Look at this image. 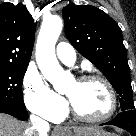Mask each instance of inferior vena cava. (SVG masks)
Returning a JSON list of instances; mask_svg holds the SVG:
<instances>
[{"instance_id": "602c4592", "label": "inferior vena cava", "mask_w": 136, "mask_h": 136, "mask_svg": "<svg viewBox=\"0 0 136 136\" xmlns=\"http://www.w3.org/2000/svg\"><path fill=\"white\" fill-rule=\"evenodd\" d=\"M30 119L32 123V130L38 133V136H47V132L49 130L48 122L35 115H31Z\"/></svg>"}]
</instances>
